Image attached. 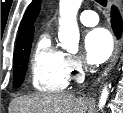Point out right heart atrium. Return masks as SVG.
Instances as JSON below:
<instances>
[{
    "label": "right heart atrium",
    "instance_id": "1",
    "mask_svg": "<svg viewBox=\"0 0 123 113\" xmlns=\"http://www.w3.org/2000/svg\"><path fill=\"white\" fill-rule=\"evenodd\" d=\"M65 67L69 80H79L85 70L82 60L71 54H65Z\"/></svg>",
    "mask_w": 123,
    "mask_h": 113
}]
</instances>
